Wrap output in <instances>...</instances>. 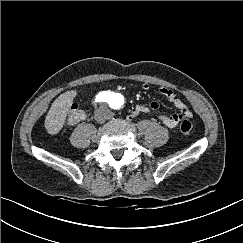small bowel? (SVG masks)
<instances>
[{"label": "small bowel", "instance_id": "obj_1", "mask_svg": "<svg viewBox=\"0 0 243 243\" xmlns=\"http://www.w3.org/2000/svg\"><path fill=\"white\" fill-rule=\"evenodd\" d=\"M144 90H149V84L145 83L142 85ZM159 93L165 97V99L175 105L179 112L171 115H161L159 120L167 127L173 128L177 126L183 120H189L192 117V113L189 110L186 103L179 99L177 95L169 88L162 87L159 89ZM160 105L156 101H152L146 104H140L135 107L132 111L130 118L134 119L141 114H149L157 111Z\"/></svg>", "mask_w": 243, "mask_h": 243}]
</instances>
